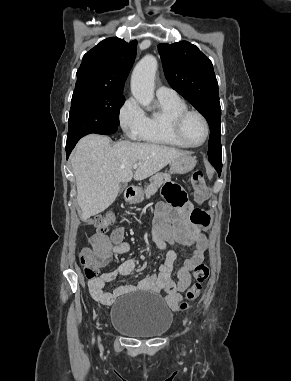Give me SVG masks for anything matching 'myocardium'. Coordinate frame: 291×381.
<instances>
[{
  "label": "myocardium",
  "mask_w": 291,
  "mask_h": 381,
  "mask_svg": "<svg viewBox=\"0 0 291 381\" xmlns=\"http://www.w3.org/2000/svg\"><path fill=\"white\" fill-rule=\"evenodd\" d=\"M189 115H197L202 120V122L204 124L205 136H204V139L202 140V142L199 144L190 143L183 133V123H184V120L186 119V117H188ZM172 129H173L175 136L182 143H184L187 147H190V148L201 147L202 145H204L206 143V141L208 140L209 135H210V126H209V122H208L207 118L200 111L193 110V109H186V110L180 112L179 114H177L173 119Z\"/></svg>",
  "instance_id": "myocardium-1"
}]
</instances>
